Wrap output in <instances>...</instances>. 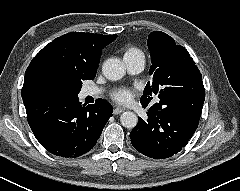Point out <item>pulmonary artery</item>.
Segmentation results:
<instances>
[{
  "instance_id": "e3ab8cb5",
  "label": "pulmonary artery",
  "mask_w": 240,
  "mask_h": 191,
  "mask_svg": "<svg viewBox=\"0 0 240 191\" xmlns=\"http://www.w3.org/2000/svg\"><path fill=\"white\" fill-rule=\"evenodd\" d=\"M123 61L129 72L137 74L141 72L145 65V58L143 55L124 56ZM102 92L99 88H88L86 95L95 96Z\"/></svg>"
}]
</instances>
